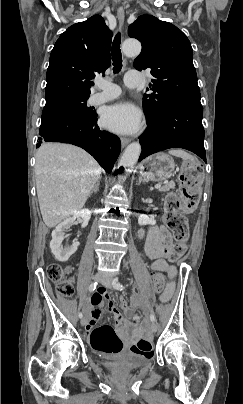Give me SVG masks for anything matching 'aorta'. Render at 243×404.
<instances>
[{"label": "aorta", "instance_id": "obj_1", "mask_svg": "<svg viewBox=\"0 0 243 404\" xmlns=\"http://www.w3.org/2000/svg\"><path fill=\"white\" fill-rule=\"evenodd\" d=\"M122 52L124 56L127 58H135V56H139L141 52V44L138 40H125L122 44ZM141 154V146L138 142H133V144H129L127 146L121 160L118 162V171L120 174L119 181L125 182L126 176L123 175L127 170L134 168L136 162H138V158Z\"/></svg>", "mask_w": 243, "mask_h": 404}]
</instances>
